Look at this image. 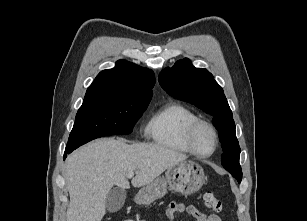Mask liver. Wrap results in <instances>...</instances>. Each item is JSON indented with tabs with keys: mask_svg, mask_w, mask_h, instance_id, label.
<instances>
[{
	"mask_svg": "<svg viewBox=\"0 0 307 221\" xmlns=\"http://www.w3.org/2000/svg\"><path fill=\"white\" fill-rule=\"evenodd\" d=\"M187 156L157 144H127L124 140H95L70 154L65 177L70 203L66 221H101L105 200L116 185L129 189L127 174L136 172L131 184L142 187Z\"/></svg>",
	"mask_w": 307,
	"mask_h": 221,
	"instance_id": "1",
	"label": "liver"
}]
</instances>
